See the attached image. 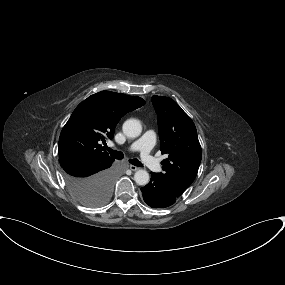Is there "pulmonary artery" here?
<instances>
[{"mask_svg":"<svg viewBox=\"0 0 285 285\" xmlns=\"http://www.w3.org/2000/svg\"><path fill=\"white\" fill-rule=\"evenodd\" d=\"M155 133L153 130H147L138 140L128 146H115L114 148L123 151L133 152L138 151L143 164L150 170L158 172L161 170V165L152 156V148L154 145Z\"/></svg>","mask_w":285,"mask_h":285,"instance_id":"obj_1","label":"pulmonary artery"}]
</instances>
